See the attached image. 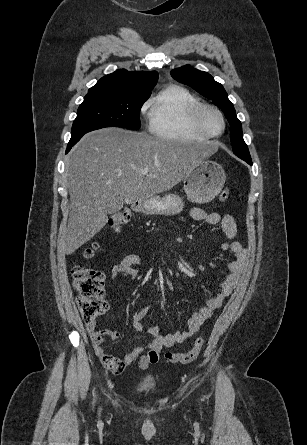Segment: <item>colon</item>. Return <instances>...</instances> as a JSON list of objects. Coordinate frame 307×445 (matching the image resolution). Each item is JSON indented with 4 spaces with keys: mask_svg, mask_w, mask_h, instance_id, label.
<instances>
[{
    "mask_svg": "<svg viewBox=\"0 0 307 445\" xmlns=\"http://www.w3.org/2000/svg\"><path fill=\"white\" fill-rule=\"evenodd\" d=\"M229 196V188H224L219 198L221 201H226ZM129 220L130 214L128 212H119L111 219L110 225L114 229L119 230L123 225L127 224ZM97 249V243L91 244L83 250V257L87 259L91 258ZM71 273L73 286L78 295L77 302L82 317L86 323L94 321L98 316L105 313L108 307L103 298L105 276L100 271L82 265H74ZM203 344V337H198L188 351L183 353L167 352L165 358L170 363H191L198 358Z\"/></svg>",
    "mask_w": 307,
    "mask_h": 445,
    "instance_id": "colon-1",
    "label": "colon"
}]
</instances>
